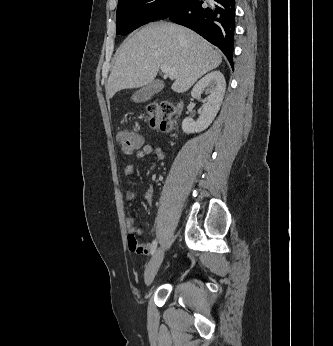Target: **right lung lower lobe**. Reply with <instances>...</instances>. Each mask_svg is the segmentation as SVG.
Listing matches in <instances>:
<instances>
[{
  "label": "right lung lower lobe",
  "instance_id": "obj_1",
  "mask_svg": "<svg viewBox=\"0 0 333 346\" xmlns=\"http://www.w3.org/2000/svg\"><path fill=\"white\" fill-rule=\"evenodd\" d=\"M235 0H184L167 17L217 46L233 67Z\"/></svg>",
  "mask_w": 333,
  "mask_h": 346
}]
</instances>
